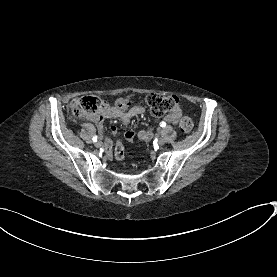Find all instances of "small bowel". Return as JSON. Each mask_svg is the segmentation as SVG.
I'll return each instance as SVG.
<instances>
[{"label": "small bowel", "mask_w": 277, "mask_h": 277, "mask_svg": "<svg viewBox=\"0 0 277 277\" xmlns=\"http://www.w3.org/2000/svg\"><path fill=\"white\" fill-rule=\"evenodd\" d=\"M76 102L77 100H74L73 104H75ZM145 111L146 110L143 106L136 105V106H133L128 111L123 112V111H120L116 106H112L107 102H102V107L97 113L88 114L85 117L87 120L96 124L99 132L103 134L105 131V128L103 125L105 119H117L122 124L128 125L132 118L143 115ZM180 117H181L180 111L176 110L170 114H167L164 120L170 124H177ZM111 133L114 135L118 134V128L112 127ZM152 136H153V132L151 129L142 130L138 133L139 139L143 141H149L152 138ZM133 137H134L133 128L126 127L125 138L131 139ZM103 142H104L103 143L104 154L106 155L107 158H113L114 152L112 151V139L109 136H104Z\"/></svg>", "instance_id": "small-bowel-1"}]
</instances>
